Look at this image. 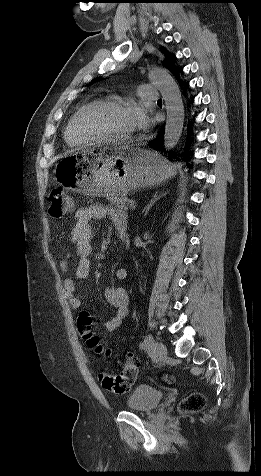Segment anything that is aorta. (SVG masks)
<instances>
[{"instance_id":"obj_1","label":"aorta","mask_w":261,"mask_h":476,"mask_svg":"<svg viewBox=\"0 0 261 476\" xmlns=\"http://www.w3.org/2000/svg\"><path fill=\"white\" fill-rule=\"evenodd\" d=\"M149 79L161 92L167 110L164 146L174 148L181 136L184 123V106L179 86L166 71L155 69L149 74Z\"/></svg>"}]
</instances>
